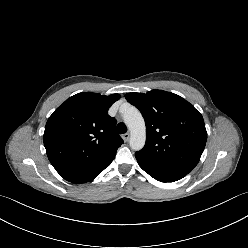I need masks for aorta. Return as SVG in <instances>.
Segmentation results:
<instances>
[{"label": "aorta", "mask_w": 248, "mask_h": 248, "mask_svg": "<svg viewBox=\"0 0 248 248\" xmlns=\"http://www.w3.org/2000/svg\"><path fill=\"white\" fill-rule=\"evenodd\" d=\"M123 119L131 133L130 147L136 151L142 149L146 141V126L141 113L135 107H129Z\"/></svg>", "instance_id": "obj_1"}]
</instances>
